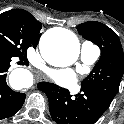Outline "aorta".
I'll list each match as a JSON object with an SVG mask.
<instances>
[{
	"label": "aorta",
	"mask_w": 124,
	"mask_h": 124,
	"mask_svg": "<svg viewBox=\"0 0 124 124\" xmlns=\"http://www.w3.org/2000/svg\"><path fill=\"white\" fill-rule=\"evenodd\" d=\"M39 48L43 58L51 65L65 67L73 64L80 52L77 37L66 29H50L40 39ZM25 70L18 69L12 72V77L20 78L19 85H25Z\"/></svg>",
	"instance_id": "aorta-1"
}]
</instances>
